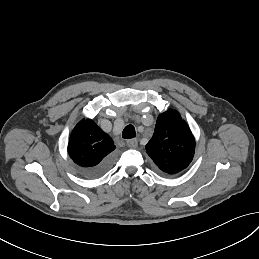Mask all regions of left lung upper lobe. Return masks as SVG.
<instances>
[{"instance_id":"obj_1","label":"left lung upper lobe","mask_w":259,"mask_h":259,"mask_svg":"<svg viewBox=\"0 0 259 259\" xmlns=\"http://www.w3.org/2000/svg\"><path fill=\"white\" fill-rule=\"evenodd\" d=\"M146 150L159 171L174 175L191 163L195 139L180 114L170 109L158 116L153 137L146 145Z\"/></svg>"}]
</instances>
